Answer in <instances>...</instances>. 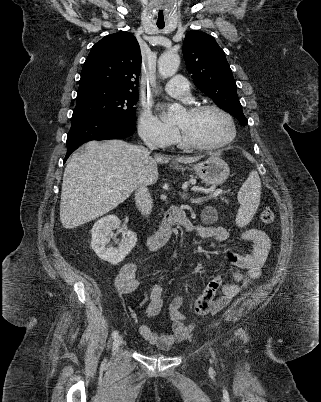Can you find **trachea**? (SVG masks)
Segmentation results:
<instances>
[{"mask_svg": "<svg viewBox=\"0 0 321 402\" xmlns=\"http://www.w3.org/2000/svg\"><path fill=\"white\" fill-rule=\"evenodd\" d=\"M157 27H158L159 29H163V28L165 27V24H157Z\"/></svg>", "mask_w": 321, "mask_h": 402, "instance_id": "1", "label": "trachea"}]
</instances>
